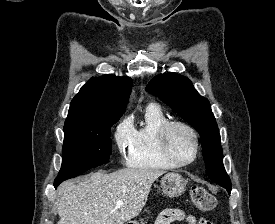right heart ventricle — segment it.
I'll return each mask as SVG.
<instances>
[{
    "label": "right heart ventricle",
    "instance_id": "right-heart-ventricle-1",
    "mask_svg": "<svg viewBox=\"0 0 275 224\" xmlns=\"http://www.w3.org/2000/svg\"><path fill=\"white\" fill-rule=\"evenodd\" d=\"M167 122L162 110L149 105L144 112V123L134 128L132 145L127 154V165L141 170H170L175 168L160 153L157 134L161 126Z\"/></svg>",
    "mask_w": 275,
    "mask_h": 224
}]
</instances>
